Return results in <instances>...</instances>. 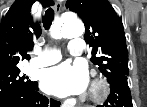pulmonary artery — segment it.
<instances>
[{"mask_svg":"<svg viewBox=\"0 0 147 107\" xmlns=\"http://www.w3.org/2000/svg\"><path fill=\"white\" fill-rule=\"evenodd\" d=\"M84 46V40L80 38H74L70 41L69 50L72 54H81ZM61 60V55L55 50H44L39 56L34 58L31 62V66L35 68L45 67L54 64Z\"/></svg>","mask_w":147,"mask_h":107,"instance_id":"1","label":"pulmonary artery"}]
</instances>
